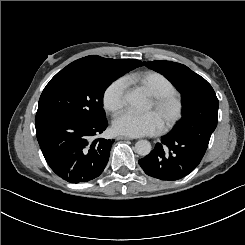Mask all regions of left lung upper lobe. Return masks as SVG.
Segmentation results:
<instances>
[{"instance_id":"1","label":"left lung upper lobe","mask_w":245,"mask_h":245,"mask_svg":"<svg viewBox=\"0 0 245 245\" xmlns=\"http://www.w3.org/2000/svg\"><path fill=\"white\" fill-rule=\"evenodd\" d=\"M145 66L164 75L182 95V117L199 112L208 96L216 95L211 85L185 65L171 61L144 62Z\"/></svg>"}]
</instances>
